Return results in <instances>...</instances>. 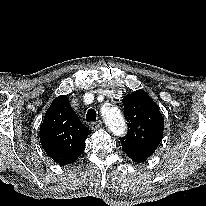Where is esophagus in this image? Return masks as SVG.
I'll use <instances>...</instances> for the list:
<instances>
[{
  "mask_svg": "<svg viewBox=\"0 0 206 206\" xmlns=\"http://www.w3.org/2000/svg\"><path fill=\"white\" fill-rule=\"evenodd\" d=\"M102 126V121L101 120H98V121H95V122H91L90 123V128L92 130H97L98 128H100Z\"/></svg>",
  "mask_w": 206,
  "mask_h": 206,
  "instance_id": "1",
  "label": "esophagus"
}]
</instances>
